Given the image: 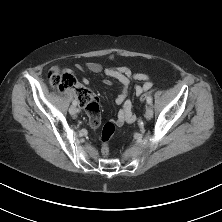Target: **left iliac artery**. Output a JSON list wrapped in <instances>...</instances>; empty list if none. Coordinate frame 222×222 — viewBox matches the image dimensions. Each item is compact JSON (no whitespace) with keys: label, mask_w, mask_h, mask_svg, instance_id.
Masks as SVG:
<instances>
[{"label":"left iliac artery","mask_w":222,"mask_h":222,"mask_svg":"<svg viewBox=\"0 0 222 222\" xmlns=\"http://www.w3.org/2000/svg\"><path fill=\"white\" fill-rule=\"evenodd\" d=\"M147 103H148V104H151V103H152V97H151V95H149V96L147 97Z\"/></svg>","instance_id":"left-iliac-artery-1"}]
</instances>
